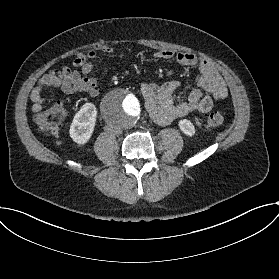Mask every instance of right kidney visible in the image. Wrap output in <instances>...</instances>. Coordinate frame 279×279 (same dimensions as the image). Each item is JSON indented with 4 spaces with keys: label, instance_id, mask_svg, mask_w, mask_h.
Listing matches in <instances>:
<instances>
[{
    "label": "right kidney",
    "instance_id": "right-kidney-1",
    "mask_svg": "<svg viewBox=\"0 0 279 279\" xmlns=\"http://www.w3.org/2000/svg\"><path fill=\"white\" fill-rule=\"evenodd\" d=\"M97 120V108L91 102L84 103L74 115L69 136L76 144L85 145L91 139Z\"/></svg>",
    "mask_w": 279,
    "mask_h": 279
}]
</instances>
